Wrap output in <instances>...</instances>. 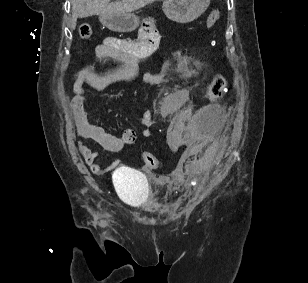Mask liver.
<instances>
[{"label": "liver", "instance_id": "liver-1", "mask_svg": "<svg viewBox=\"0 0 308 283\" xmlns=\"http://www.w3.org/2000/svg\"><path fill=\"white\" fill-rule=\"evenodd\" d=\"M156 0H72V24L74 30L78 18L102 14H126L136 11Z\"/></svg>", "mask_w": 308, "mask_h": 283}]
</instances>
